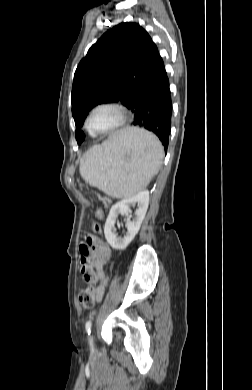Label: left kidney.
I'll return each mask as SVG.
<instances>
[{
    "mask_svg": "<svg viewBox=\"0 0 252 390\" xmlns=\"http://www.w3.org/2000/svg\"><path fill=\"white\" fill-rule=\"evenodd\" d=\"M137 204L138 208L135 211V217L131 221L129 218L126 221L127 233L123 238H118L115 233V223L118 214L126 215L131 213L130 206ZM149 205V192L141 191L134 196L125 198L114 204L109 212L105 226L104 234L107 242L113 249L123 250L134 239L138 233L141 223L145 217Z\"/></svg>",
    "mask_w": 252,
    "mask_h": 390,
    "instance_id": "5707ae66",
    "label": "left kidney"
}]
</instances>
